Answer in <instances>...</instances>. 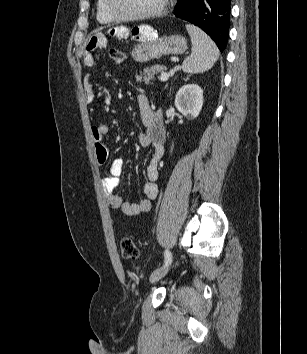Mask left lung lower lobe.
<instances>
[{
	"label": "left lung lower lobe",
	"mask_w": 307,
	"mask_h": 354,
	"mask_svg": "<svg viewBox=\"0 0 307 354\" xmlns=\"http://www.w3.org/2000/svg\"><path fill=\"white\" fill-rule=\"evenodd\" d=\"M231 0H177L176 17L187 20L205 31L222 52L227 44Z\"/></svg>",
	"instance_id": "1"
}]
</instances>
